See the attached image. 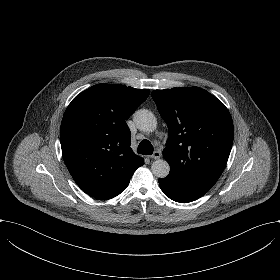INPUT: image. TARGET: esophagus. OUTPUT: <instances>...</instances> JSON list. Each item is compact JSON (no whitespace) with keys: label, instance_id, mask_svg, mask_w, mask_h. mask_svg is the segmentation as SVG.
<instances>
[{"label":"esophagus","instance_id":"34e87169","mask_svg":"<svg viewBox=\"0 0 280 280\" xmlns=\"http://www.w3.org/2000/svg\"><path fill=\"white\" fill-rule=\"evenodd\" d=\"M160 157H161V152H160L159 150L155 151V152L150 156V158L155 159V160L159 159Z\"/></svg>","mask_w":280,"mask_h":280}]
</instances>
